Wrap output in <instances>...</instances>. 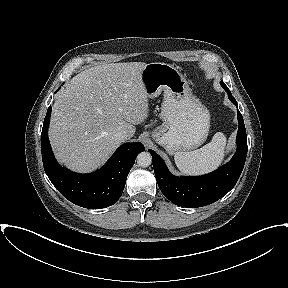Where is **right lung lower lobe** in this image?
<instances>
[{"label": "right lung lower lobe", "mask_w": 288, "mask_h": 288, "mask_svg": "<svg viewBox=\"0 0 288 288\" xmlns=\"http://www.w3.org/2000/svg\"><path fill=\"white\" fill-rule=\"evenodd\" d=\"M51 106L43 123L41 152L45 172L55 188L72 203L88 209L113 205L122 195L128 173L136 156L144 151L141 143H125L100 170L91 174H78L61 167L54 158L48 126Z\"/></svg>", "instance_id": "1"}]
</instances>
